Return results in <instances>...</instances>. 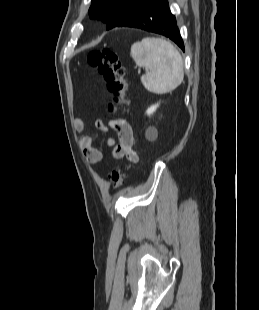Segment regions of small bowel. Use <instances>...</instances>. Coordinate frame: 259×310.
Here are the masks:
<instances>
[{
  "mask_svg": "<svg viewBox=\"0 0 259 310\" xmlns=\"http://www.w3.org/2000/svg\"><path fill=\"white\" fill-rule=\"evenodd\" d=\"M73 124L78 132H82L86 126L85 121L81 118H75ZM96 127L103 132H108L109 129H114L117 132L118 144L111 137L106 140V145L112 149L114 158L121 159L127 157L130 161H137V155L133 150L134 132L128 122L118 119L112 120L108 125H105L102 120H97ZM78 144L89 163H98L102 159L101 150L95 147L90 136L81 134L78 138Z\"/></svg>",
  "mask_w": 259,
  "mask_h": 310,
  "instance_id": "obj_1",
  "label": "small bowel"
}]
</instances>
